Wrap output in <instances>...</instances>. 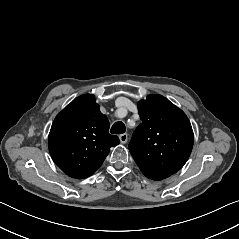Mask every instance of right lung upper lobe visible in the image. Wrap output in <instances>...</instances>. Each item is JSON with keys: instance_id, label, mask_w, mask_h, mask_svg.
<instances>
[{"instance_id": "obj_1", "label": "right lung upper lobe", "mask_w": 239, "mask_h": 239, "mask_svg": "<svg viewBox=\"0 0 239 239\" xmlns=\"http://www.w3.org/2000/svg\"><path fill=\"white\" fill-rule=\"evenodd\" d=\"M109 121L95 98L74 99L54 119L48 145L55 164L72 178H87L102 165L110 148L120 140L109 134Z\"/></svg>"}]
</instances>
